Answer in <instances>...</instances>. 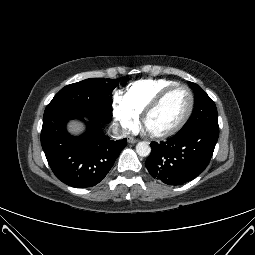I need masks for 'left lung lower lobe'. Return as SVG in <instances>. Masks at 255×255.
<instances>
[{
    "label": "left lung lower lobe",
    "instance_id": "obj_1",
    "mask_svg": "<svg viewBox=\"0 0 255 255\" xmlns=\"http://www.w3.org/2000/svg\"><path fill=\"white\" fill-rule=\"evenodd\" d=\"M218 136L219 129L204 128L179 131L160 144L153 142L146 167L152 177L168 185L191 181L209 164Z\"/></svg>",
    "mask_w": 255,
    "mask_h": 255
}]
</instances>
